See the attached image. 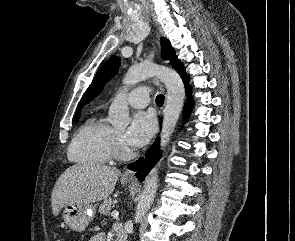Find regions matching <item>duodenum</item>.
<instances>
[{"label": "duodenum", "mask_w": 295, "mask_h": 241, "mask_svg": "<svg viewBox=\"0 0 295 241\" xmlns=\"http://www.w3.org/2000/svg\"><path fill=\"white\" fill-rule=\"evenodd\" d=\"M116 241H126V238L123 235V233H117L116 234Z\"/></svg>", "instance_id": "1"}]
</instances>
